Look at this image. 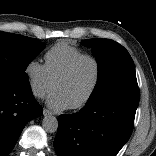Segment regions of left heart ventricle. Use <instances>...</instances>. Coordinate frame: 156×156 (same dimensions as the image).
<instances>
[{
  "label": "left heart ventricle",
  "mask_w": 156,
  "mask_h": 156,
  "mask_svg": "<svg viewBox=\"0 0 156 156\" xmlns=\"http://www.w3.org/2000/svg\"><path fill=\"white\" fill-rule=\"evenodd\" d=\"M96 76V67L91 60L79 63L73 74L60 82L55 90L59 91L72 106L81 101L91 89Z\"/></svg>",
  "instance_id": "b2bd125f"
}]
</instances>
